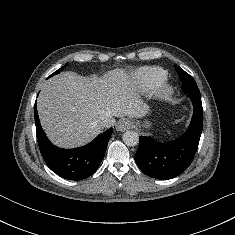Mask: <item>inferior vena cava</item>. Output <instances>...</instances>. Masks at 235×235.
<instances>
[{
  "label": "inferior vena cava",
  "instance_id": "602c4592",
  "mask_svg": "<svg viewBox=\"0 0 235 235\" xmlns=\"http://www.w3.org/2000/svg\"><path fill=\"white\" fill-rule=\"evenodd\" d=\"M98 124L102 128L108 127L109 126V119H102L101 121H99Z\"/></svg>",
  "mask_w": 235,
  "mask_h": 235
}]
</instances>
